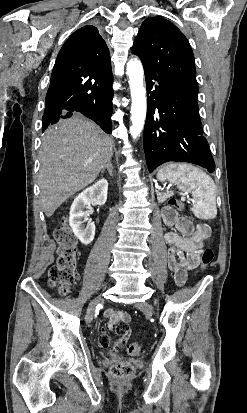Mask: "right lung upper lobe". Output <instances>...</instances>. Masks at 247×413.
<instances>
[{
  "mask_svg": "<svg viewBox=\"0 0 247 413\" xmlns=\"http://www.w3.org/2000/svg\"><path fill=\"white\" fill-rule=\"evenodd\" d=\"M111 69L109 49L92 25L75 31L58 53L53 70L70 73H96Z\"/></svg>",
  "mask_w": 247,
  "mask_h": 413,
  "instance_id": "right-lung-upper-lobe-1",
  "label": "right lung upper lobe"
}]
</instances>
